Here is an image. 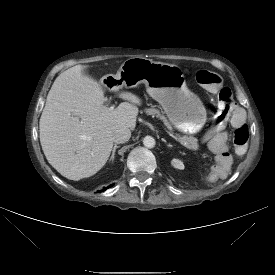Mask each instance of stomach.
<instances>
[{
	"label": "stomach",
	"instance_id": "0dacf381",
	"mask_svg": "<svg viewBox=\"0 0 275 275\" xmlns=\"http://www.w3.org/2000/svg\"><path fill=\"white\" fill-rule=\"evenodd\" d=\"M140 83L145 84L147 93L162 106L180 132L195 134L204 127L206 108L200 97L188 89L183 71L177 65L134 57L127 59L116 74L100 79L104 90L110 91Z\"/></svg>",
	"mask_w": 275,
	"mask_h": 275
}]
</instances>
